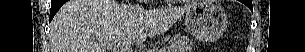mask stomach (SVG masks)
Here are the masks:
<instances>
[{
  "label": "stomach",
  "mask_w": 305,
  "mask_h": 52,
  "mask_svg": "<svg viewBox=\"0 0 305 52\" xmlns=\"http://www.w3.org/2000/svg\"><path fill=\"white\" fill-rule=\"evenodd\" d=\"M187 31L201 41L218 39L227 26L225 12L210 1H198L185 11Z\"/></svg>",
  "instance_id": "1"
}]
</instances>
